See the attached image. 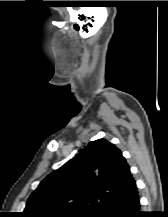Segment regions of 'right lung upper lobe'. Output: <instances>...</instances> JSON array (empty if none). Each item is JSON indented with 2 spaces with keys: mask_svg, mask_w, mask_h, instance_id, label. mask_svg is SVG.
<instances>
[{
  "mask_svg": "<svg viewBox=\"0 0 168 217\" xmlns=\"http://www.w3.org/2000/svg\"><path fill=\"white\" fill-rule=\"evenodd\" d=\"M137 190L120 149L105 139L90 142L41 181L22 217H95L108 204Z\"/></svg>",
  "mask_w": 168,
  "mask_h": 217,
  "instance_id": "cb5924a9",
  "label": "right lung upper lobe"
}]
</instances>
